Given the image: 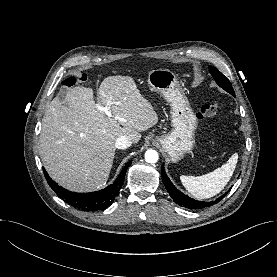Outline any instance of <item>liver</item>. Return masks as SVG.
Masks as SVG:
<instances>
[{
    "label": "liver",
    "instance_id": "obj_1",
    "mask_svg": "<svg viewBox=\"0 0 277 277\" xmlns=\"http://www.w3.org/2000/svg\"><path fill=\"white\" fill-rule=\"evenodd\" d=\"M62 89L64 98L58 94L42 120L40 156L49 175L64 188L94 191L109 178L116 140L127 135L138 143L139 132L156 125L158 115L130 77L105 78L97 90V103L90 87ZM108 103L112 117L98 110Z\"/></svg>",
    "mask_w": 277,
    "mask_h": 277
}]
</instances>
